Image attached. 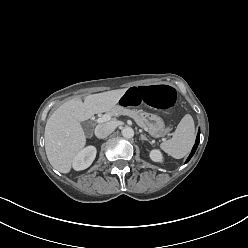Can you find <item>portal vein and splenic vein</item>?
Masks as SVG:
<instances>
[{
	"label": "portal vein and splenic vein",
	"mask_w": 248,
	"mask_h": 248,
	"mask_svg": "<svg viewBox=\"0 0 248 248\" xmlns=\"http://www.w3.org/2000/svg\"><path fill=\"white\" fill-rule=\"evenodd\" d=\"M111 119V115L109 114H104L103 116L99 117L97 119V123H104V122H107Z\"/></svg>",
	"instance_id": "obj_1"
}]
</instances>
